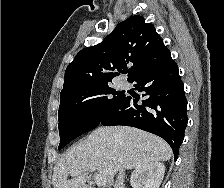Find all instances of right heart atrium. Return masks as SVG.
I'll use <instances>...</instances> for the list:
<instances>
[{
    "instance_id": "obj_1",
    "label": "right heart atrium",
    "mask_w": 224,
    "mask_h": 188,
    "mask_svg": "<svg viewBox=\"0 0 224 188\" xmlns=\"http://www.w3.org/2000/svg\"><path fill=\"white\" fill-rule=\"evenodd\" d=\"M92 112L95 113L96 112L95 109H93Z\"/></svg>"
}]
</instances>
